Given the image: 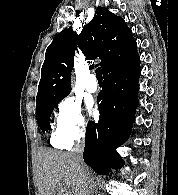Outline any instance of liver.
Masks as SVG:
<instances>
[{"mask_svg": "<svg viewBox=\"0 0 178 195\" xmlns=\"http://www.w3.org/2000/svg\"><path fill=\"white\" fill-rule=\"evenodd\" d=\"M37 185L39 195H90L89 179L78 170L72 153L53 149L38 151Z\"/></svg>", "mask_w": 178, "mask_h": 195, "instance_id": "6515ba94", "label": "liver"}]
</instances>
